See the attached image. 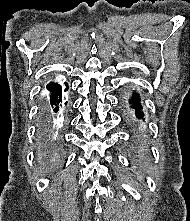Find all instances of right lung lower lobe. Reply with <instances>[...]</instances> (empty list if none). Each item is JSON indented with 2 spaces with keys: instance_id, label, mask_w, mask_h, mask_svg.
<instances>
[{
  "instance_id": "1",
  "label": "right lung lower lobe",
  "mask_w": 190,
  "mask_h": 221,
  "mask_svg": "<svg viewBox=\"0 0 190 221\" xmlns=\"http://www.w3.org/2000/svg\"><path fill=\"white\" fill-rule=\"evenodd\" d=\"M65 85H67L66 82ZM67 89L68 86L64 91ZM47 90L50 92V98L43 99L40 105L37 139L49 156L58 161L63 154V143L56 128V118L61 107L59 103L62 102V87L58 83L50 82Z\"/></svg>"
}]
</instances>
